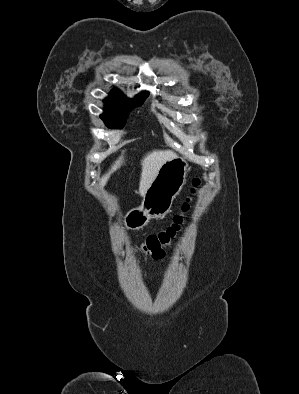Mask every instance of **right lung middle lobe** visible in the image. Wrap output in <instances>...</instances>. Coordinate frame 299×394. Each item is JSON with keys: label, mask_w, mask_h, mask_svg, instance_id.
Returning a JSON list of instances; mask_svg holds the SVG:
<instances>
[{"label": "right lung middle lobe", "mask_w": 299, "mask_h": 394, "mask_svg": "<svg viewBox=\"0 0 299 394\" xmlns=\"http://www.w3.org/2000/svg\"><path fill=\"white\" fill-rule=\"evenodd\" d=\"M148 94L128 99L122 93L111 95L105 102V113L101 119L111 129L121 128L125 125L128 113L136 106L141 105Z\"/></svg>", "instance_id": "dd1d6c3e"}]
</instances>
